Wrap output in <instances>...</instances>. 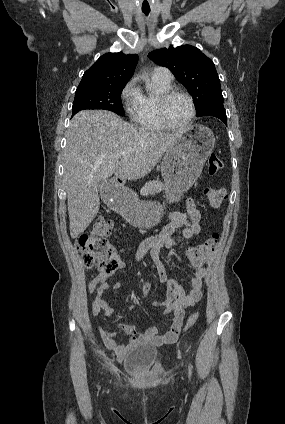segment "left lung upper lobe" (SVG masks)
Masks as SVG:
<instances>
[{
    "mask_svg": "<svg viewBox=\"0 0 285 424\" xmlns=\"http://www.w3.org/2000/svg\"><path fill=\"white\" fill-rule=\"evenodd\" d=\"M148 57L167 67L194 99L197 114L214 103H223L220 80L211 59L198 48L182 45L154 50Z\"/></svg>",
    "mask_w": 285,
    "mask_h": 424,
    "instance_id": "obj_1",
    "label": "left lung upper lobe"
}]
</instances>
